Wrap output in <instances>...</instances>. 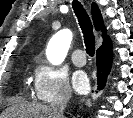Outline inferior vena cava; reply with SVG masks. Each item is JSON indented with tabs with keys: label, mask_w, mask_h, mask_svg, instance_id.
<instances>
[{
	"label": "inferior vena cava",
	"mask_w": 133,
	"mask_h": 118,
	"mask_svg": "<svg viewBox=\"0 0 133 118\" xmlns=\"http://www.w3.org/2000/svg\"><path fill=\"white\" fill-rule=\"evenodd\" d=\"M70 97L71 92L69 89H63L57 94L50 106L53 118H63V111Z\"/></svg>",
	"instance_id": "1"
}]
</instances>
